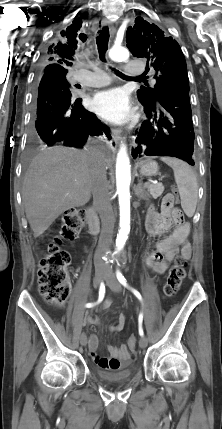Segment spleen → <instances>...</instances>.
Masks as SVG:
<instances>
[{
    "label": "spleen",
    "mask_w": 222,
    "mask_h": 429,
    "mask_svg": "<svg viewBox=\"0 0 222 429\" xmlns=\"http://www.w3.org/2000/svg\"><path fill=\"white\" fill-rule=\"evenodd\" d=\"M161 160L173 169L181 198V207L188 217H192L198 201V184L194 172L182 160L171 157H162Z\"/></svg>",
    "instance_id": "3e777b00"
}]
</instances>
